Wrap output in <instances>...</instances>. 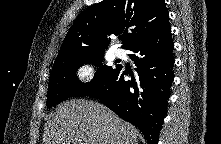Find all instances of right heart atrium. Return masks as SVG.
<instances>
[{
	"mask_svg": "<svg viewBox=\"0 0 221 144\" xmlns=\"http://www.w3.org/2000/svg\"><path fill=\"white\" fill-rule=\"evenodd\" d=\"M96 75V69L91 63H83L76 70V78L82 84L92 82Z\"/></svg>",
	"mask_w": 221,
	"mask_h": 144,
	"instance_id": "1",
	"label": "right heart atrium"
}]
</instances>
